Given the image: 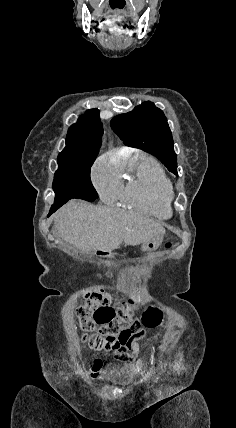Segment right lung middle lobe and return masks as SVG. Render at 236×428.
Instances as JSON below:
<instances>
[{"label": "right lung middle lobe", "mask_w": 236, "mask_h": 428, "mask_svg": "<svg viewBox=\"0 0 236 428\" xmlns=\"http://www.w3.org/2000/svg\"><path fill=\"white\" fill-rule=\"evenodd\" d=\"M93 162L80 164H60L54 175L53 190L55 200L52 208H59L72 198L94 201L98 198L90 179Z\"/></svg>", "instance_id": "obj_1"}]
</instances>
